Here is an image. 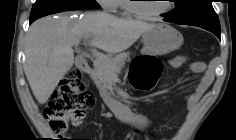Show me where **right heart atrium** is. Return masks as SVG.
<instances>
[{"mask_svg":"<svg viewBox=\"0 0 236 140\" xmlns=\"http://www.w3.org/2000/svg\"><path fill=\"white\" fill-rule=\"evenodd\" d=\"M99 3L105 11L112 12L116 10L114 0H99Z\"/></svg>","mask_w":236,"mask_h":140,"instance_id":"d8ad5b80","label":"right heart atrium"}]
</instances>
